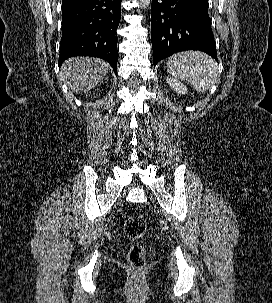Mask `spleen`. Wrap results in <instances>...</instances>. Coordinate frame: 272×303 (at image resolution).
<instances>
[{"instance_id": "1", "label": "spleen", "mask_w": 272, "mask_h": 303, "mask_svg": "<svg viewBox=\"0 0 272 303\" xmlns=\"http://www.w3.org/2000/svg\"><path fill=\"white\" fill-rule=\"evenodd\" d=\"M167 71L189 82L199 93H205L217 81V63L199 51H185L170 57Z\"/></svg>"}]
</instances>
